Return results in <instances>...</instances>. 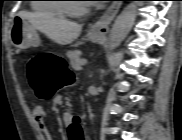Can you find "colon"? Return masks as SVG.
Returning <instances> with one entry per match:
<instances>
[{
	"instance_id": "5ec220e1",
	"label": "colon",
	"mask_w": 182,
	"mask_h": 140,
	"mask_svg": "<svg viewBox=\"0 0 182 140\" xmlns=\"http://www.w3.org/2000/svg\"><path fill=\"white\" fill-rule=\"evenodd\" d=\"M28 78L35 95L51 98L59 89L72 82V74L65 61L54 56H35L28 62ZM68 140H86L83 118L73 115L67 126Z\"/></svg>"
}]
</instances>
